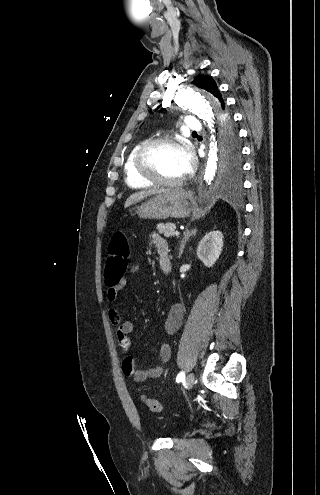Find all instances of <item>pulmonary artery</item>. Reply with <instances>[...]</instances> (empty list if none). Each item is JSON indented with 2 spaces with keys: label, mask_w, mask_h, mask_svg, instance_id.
I'll list each match as a JSON object with an SVG mask.
<instances>
[{
  "label": "pulmonary artery",
  "mask_w": 320,
  "mask_h": 495,
  "mask_svg": "<svg viewBox=\"0 0 320 495\" xmlns=\"http://www.w3.org/2000/svg\"><path fill=\"white\" fill-rule=\"evenodd\" d=\"M185 127L187 130L194 131V132L200 131L202 128L200 121L193 116L186 117Z\"/></svg>",
  "instance_id": "1"
}]
</instances>
